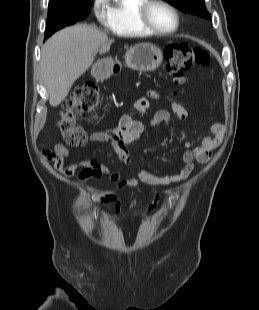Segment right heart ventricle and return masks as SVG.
<instances>
[{"label":"right heart ventricle","mask_w":259,"mask_h":310,"mask_svg":"<svg viewBox=\"0 0 259 310\" xmlns=\"http://www.w3.org/2000/svg\"><path fill=\"white\" fill-rule=\"evenodd\" d=\"M144 2L145 0H111L106 28L114 34L125 37L154 35L147 31L138 19V9Z\"/></svg>","instance_id":"1"}]
</instances>
